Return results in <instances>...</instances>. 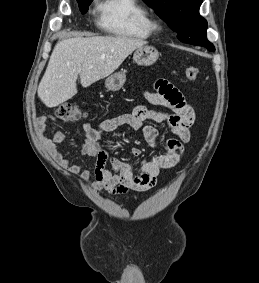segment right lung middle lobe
Wrapping results in <instances>:
<instances>
[{
	"label": "right lung middle lobe",
	"instance_id": "1",
	"mask_svg": "<svg viewBox=\"0 0 259 283\" xmlns=\"http://www.w3.org/2000/svg\"><path fill=\"white\" fill-rule=\"evenodd\" d=\"M77 1L79 3L80 11L82 12V14H85L89 5L93 0H77Z\"/></svg>",
	"mask_w": 259,
	"mask_h": 283
}]
</instances>
